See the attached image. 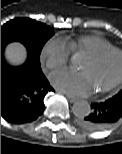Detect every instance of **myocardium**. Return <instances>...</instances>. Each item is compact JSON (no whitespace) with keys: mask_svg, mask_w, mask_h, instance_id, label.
I'll return each mask as SVG.
<instances>
[{"mask_svg":"<svg viewBox=\"0 0 122 154\" xmlns=\"http://www.w3.org/2000/svg\"><path fill=\"white\" fill-rule=\"evenodd\" d=\"M113 54L119 55L122 59V50L117 49V48H110V49L102 50L97 53L89 54L88 57L95 62H101ZM121 84H122V66H121L120 73H119L118 77L108 86H106L102 89H98L97 93H99V94L107 93V92L119 87Z\"/></svg>","mask_w":122,"mask_h":154,"instance_id":"f54148a6","label":"myocardium"}]
</instances>
